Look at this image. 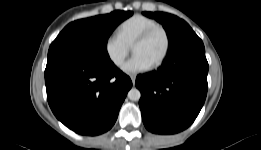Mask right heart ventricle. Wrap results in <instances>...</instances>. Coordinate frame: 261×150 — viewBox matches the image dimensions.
I'll return each instance as SVG.
<instances>
[{"label": "right heart ventricle", "instance_id": "e07e8e85", "mask_svg": "<svg viewBox=\"0 0 261 150\" xmlns=\"http://www.w3.org/2000/svg\"><path fill=\"white\" fill-rule=\"evenodd\" d=\"M159 25V23L150 17L135 14L119 24L117 35L129 47H132L135 40L147 29Z\"/></svg>", "mask_w": 261, "mask_h": 150}]
</instances>
